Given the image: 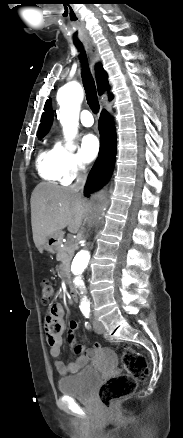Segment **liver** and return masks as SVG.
<instances>
[{
  "mask_svg": "<svg viewBox=\"0 0 183 438\" xmlns=\"http://www.w3.org/2000/svg\"><path fill=\"white\" fill-rule=\"evenodd\" d=\"M85 200L70 188L40 183L31 195V224L35 246L41 251L47 238L68 228L77 233L85 213Z\"/></svg>",
  "mask_w": 183,
  "mask_h": 438,
  "instance_id": "liver-1",
  "label": "liver"
}]
</instances>
